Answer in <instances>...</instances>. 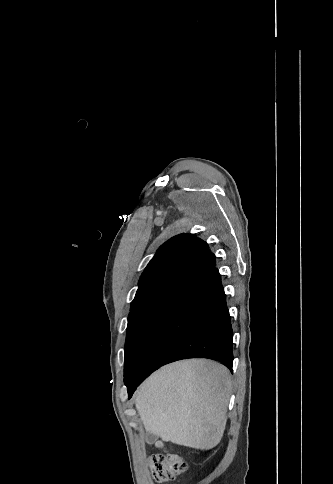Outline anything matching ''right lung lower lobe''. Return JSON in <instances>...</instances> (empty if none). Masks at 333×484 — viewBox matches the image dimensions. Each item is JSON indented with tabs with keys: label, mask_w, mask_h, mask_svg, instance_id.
<instances>
[{
	"label": "right lung lower lobe",
	"mask_w": 333,
	"mask_h": 484,
	"mask_svg": "<svg viewBox=\"0 0 333 484\" xmlns=\"http://www.w3.org/2000/svg\"><path fill=\"white\" fill-rule=\"evenodd\" d=\"M233 332L226 296L213 266L167 295L152 314L128 381L129 399L160 366L184 358H209L232 372Z\"/></svg>",
	"instance_id": "98d812e1"
}]
</instances>
